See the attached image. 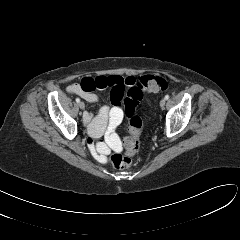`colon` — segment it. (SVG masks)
<instances>
[{
    "label": "colon",
    "instance_id": "obj_1",
    "mask_svg": "<svg viewBox=\"0 0 240 240\" xmlns=\"http://www.w3.org/2000/svg\"><path fill=\"white\" fill-rule=\"evenodd\" d=\"M168 87L167 80L159 75L141 76L136 84L129 88L125 98V112L129 119L130 135L125 139L124 146L126 154L113 153L109 157L111 165L117 169H126L130 167L131 156L138 153L140 149V136L143 123L140 117L135 115L137 103L141 100L143 92L158 93L166 90Z\"/></svg>",
    "mask_w": 240,
    "mask_h": 240
}]
</instances>
